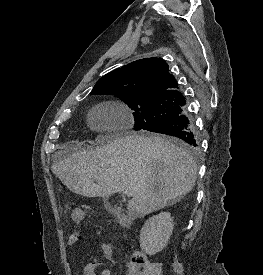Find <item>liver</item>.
Returning <instances> with one entry per match:
<instances>
[{
  "label": "liver",
  "instance_id": "1",
  "mask_svg": "<svg viewBox=\"0 0 263 275\" xmlns=\"http://www.w3.org/2000/svg\"><path fill=\"white\" fill-rule=\"evenodd\" d=\"M100 147L56 154L52 172L72 192L106 198L129 191L128 212L142 217L182 198L194 187L192 156L159 136H99ZM96 182V183H95Z\"/></svg>",
  "mask_w": 263,
  "mask_h": 275
}]
</instances>
